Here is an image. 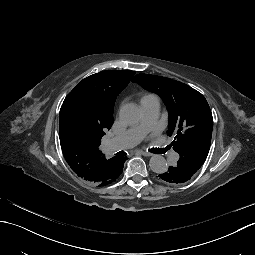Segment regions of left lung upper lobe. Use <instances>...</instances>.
<instances>
[{
  "instance_id": "1",
  "label": "left lung upper lobe",
  "mask_w": 255,
  "mask_h": 255,
  "mask_svg": "<svg viewBox=\"0 0 255 255\" xmlns=\"http://www.w3.org/2000/svg\"><path fill=\"white\" fill-rule=\"evenodd\" d=\"M132 81L165 102L167 134L174 136L171 145L180 155L177 165L192 177L205 162L211 144L213 118L205 97L184 83L161 76L138 74Z\"/></svg>"
}]
</instances>
